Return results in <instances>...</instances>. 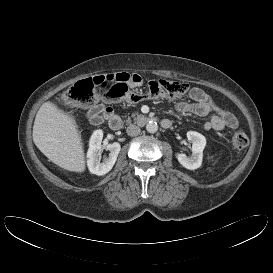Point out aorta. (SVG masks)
<instances>
[{
    "mask_svg": "<svg viewBox=\"0 0 273 273\" xmlns=\"http://www.w3.org/2000/svg\"><path fill=\"white\" fill-rule=\"evenodd\" d=\"M146 130L147 132L149 133H156L157 130H158V125L156 122L154 121H149L147 124H146Z\"/></svg>",
    "mask_w": 273,
    "mask_h": 273,
    "instance_id": "aorta-1",
    "label": "aorta"
}]
</instances>
